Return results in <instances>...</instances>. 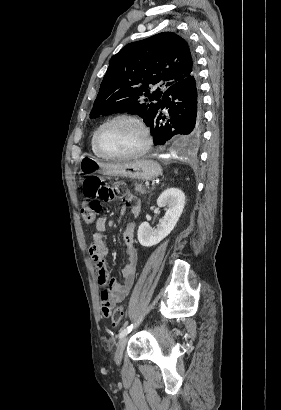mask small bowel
<instances>
[{
  "label": "small bowel",
  "instance_id": "1",
  "mask_svg": "<svg viewBox=\"0 0 281 410\" xmlns=\"http://www.w3.org/2000/svg\"><path fill=\"white\" fill-rule=\"evenodd\" d=\"M122 201V213L129 208L134 217L139 215L140 203L135 196L126 194L123 196ZM95 227L96 231L93 234L89 253L97 270V279L99 284L107 285V287L101 291L100 297L101 313L104 317H108L114 305L127 297L134 284L138 262V252L134 242L136 224L133 221L127 223L123 235L127 253V262L121 269L123 282H119L110 277L106 264L105 258L108 254V248L104 241V236L106 233V219L104 217H99L95 222Z\"/></svg>",
  "mask_w": 281,
  "mask_h": 410
}]
</instances>
